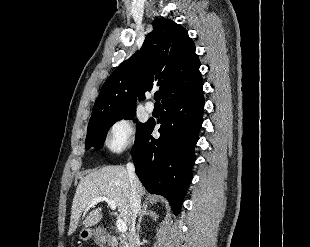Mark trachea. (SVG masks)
I'll return each mask as SVG.
<instances>
[{"mask_svg": "<svg viewBox=\"0 0 310 247\" xmlns=\"http://www.w3.org/2000/svg\"><path fill=\"white\" fill-rule=\"evenodd\" d=\"M154 99H155L156 103H160V92H156L154 94Z\"/></svg>", "mask_w": 310, "mask_h": 247, "instance_id": "1", "label": "trachea"}]
</instances>
